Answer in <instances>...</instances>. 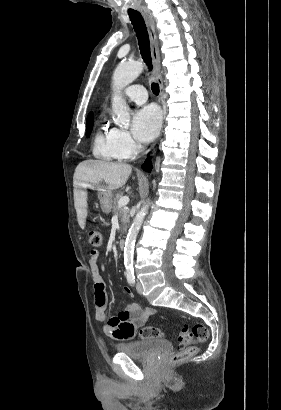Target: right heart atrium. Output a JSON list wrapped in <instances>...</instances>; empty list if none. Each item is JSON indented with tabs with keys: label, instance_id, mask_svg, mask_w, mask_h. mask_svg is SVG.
I'll return each instance as SVG.
<instances>
[{
	"label": "right heart atrium",
	"instance_id": "obj_1",
	"mask_svg": "<svg viewBox=\"0 0 281 410\" xmlns=\"http://www.w3.org/2000/svg\"><path fill=\"white\" fill-rule=\"evenodd\" d=\"M117 144L126 158L135 156L139 151V145L131 134L122 129H115Z\"/></svg>",
	"mask_w": 281,
	"mask_h": 410
}]
</instances>
